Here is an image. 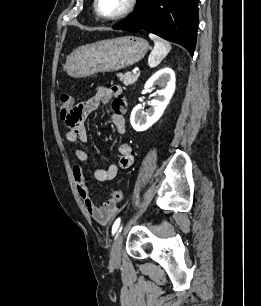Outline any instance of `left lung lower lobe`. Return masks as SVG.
I'll use <instances>...</instances> for the list:
<instances>
[{
    "instance_id": "1",
    "label": "left lung lower lobe",
    "mask_w": 261,
    "mask_h": 306,
    "mask_svg": "<svg viewBox=\"0 0 261 306\" xmlns=\"http://www.w3.org/2000/svg\"><path fill=\"white\" fill-rule=\"evenodd\" d=\"M198 20V0H138L134 12L112 28L144 29L182 45L193 56Z\"/></svg>"
}]
</instances>
